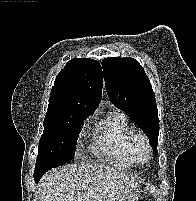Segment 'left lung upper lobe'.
<instances>
[{"instance_id":"obj_1","label":"left lung upper lobe","mask_w":196,"mask_h":201,"mask_svg":"<svg viewBox=\"0 0 196 201\" xmlns=\"http://www.w3.org/2000/svg\"><path fill=\"white\" fill-rule=\"evenodd\" d=\"M110 101L135 121L148 135L157 156L159 134L155 94L143 67L133 58H106L102 61Z\"/></svg>"}]
</instances>
